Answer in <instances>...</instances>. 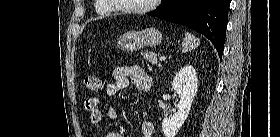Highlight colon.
Segmentation results:
<instances>
[{
	"label": "colon",
	"mask_w": 280,
	"mask_h": 137,
	"mask_svg": "<svg viewBox=\"0 0 280 137\" xmlns=\"http://www.w3.org/2000/svg\"><path fill=\"white\" fill-rule=\"evenodd\" d=\"M101 81L96 75H88L85 78V87L89 92H96L100 88Z\"/></svg>",
	"instance_id": "5ec220e1"
}]
</instances>
